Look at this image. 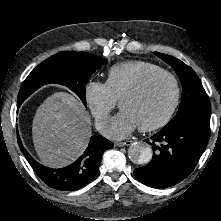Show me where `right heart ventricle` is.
Returning <instances> with one entry per match:
<instances>
[{
	"label": "right heart ventricle",
	"instance_id": "e07e8e85",
	"mask_svg": "<svg viewBox=\"0 0 221 221\" xmlns=\"http://www.w3.org/2000/svg\"><path fill=\"white\" fill-rule=\"evenodd\" d=\"M163 70L157 64L142 60H129L112 65L106 73V84L117 99L128 88L149 73Z\"/></svg>",
	"mask_w": 221,
	"mask_h": 221
}]
</instances>
